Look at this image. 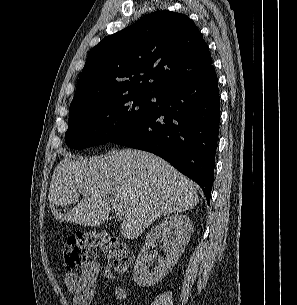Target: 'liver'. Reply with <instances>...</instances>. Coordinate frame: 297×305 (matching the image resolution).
Listing matches in <instances>:
<instances>
[{
	"label": "liver",
	"mask_w": 297,
	"mask_h": 305,
	"mask_svg": "<svg viewBox=\"0 0 297 305\" xmlns=\"http://www.w3.org/2000/svg\"><path fill=\"white\" fill-rule=\"evenodd\" d=\"M79 193L84 195L79 201ZM56 220L99 226L111 207L124 206L123 236L135 238L159 217L193 209L199 202L194 183L168 162L148 152L121 149L106 156L60 161L49 195ZM76 204L61 213L59 206Z\"/></svg>",
	"instance_id": "liver-1"
}]
</instances>
